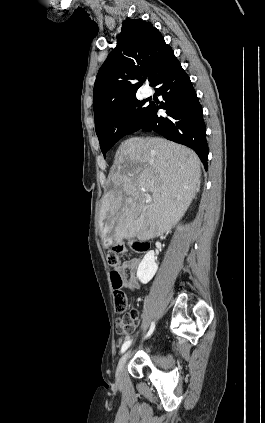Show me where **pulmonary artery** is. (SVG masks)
<instances>
[{
	"label": "pulmonary artery",
	"instance_id": "1",
	"mask_svg": "<svg viewBox=\"0 0 265 423\" xmlns=\"http://www.w3.org/2000/svg\"><path fill=\"white\" fill-rule=\"evenodd\" d=\"M143 94H144L145 96H150V95H151V90H150L149 88H145V89L143 90Z\"/></svg>",
	"mask_w": 265,
	"mask_h": 423
}]
</instances>
